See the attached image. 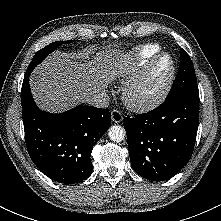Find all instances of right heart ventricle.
<instances>
[{
    "label": "right heart ventricle",
    "instance_id": "e07e8e85",
    "mask_svg": "<svg viewBox=\"0 0 221 221\" xmlns=\"http://www.w3.org/2000/svg\"><path fill=\"white\" fill-rule=\"evenodd\" d=\"M160 51L161 47L157 44H146L137 48L133 53L135 56V62L119 68L118 75H120L121 77L130 75L132 72L146 64Z\"/></svg>",
    "mask_w": 221,
    "mask_h": 221
}]
</instances>
